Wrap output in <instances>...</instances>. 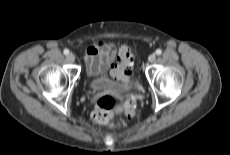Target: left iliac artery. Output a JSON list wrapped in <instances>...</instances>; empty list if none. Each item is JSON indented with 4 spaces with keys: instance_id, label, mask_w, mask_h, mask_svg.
<instances>
[{
    "instance_id": "1",
    "label": "left iliac artery",
    "mask_w": 230,
    "mask_h": 155,
    "mask_svg": "<svg viewBox=\"0 0 230 155\" xmlns=\"http://www.w3.org/2000/svg\"><path fill=\"white\" fill-rule=\"evenodd\" d=\"M156 54H157V55L162 54V50H161V49H157V50H156Z\"/></svg>"
}]
</instances>
